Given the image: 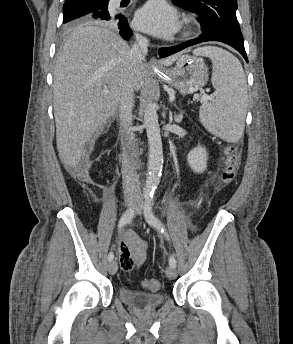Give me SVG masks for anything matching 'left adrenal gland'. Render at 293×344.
I'll return each mask as SVG.
<instances>
[{
    "label": "left adrenal gland",
    "instance_id": "a2214340",
    "mask_svg": "<svg viewBox=\"0 0 293 344\" xmlns=\"http://www.w3.org/2000/svg\"><path fill=\"white\" fill-rule=\"evenodd\" d=\"M172 117V113L170 112V118ZM175 122H181L182 120V112L179 115H174Z\"/></svg>",
    "mask_w": 293,
    "mask_h": 344
}]
</instances>
